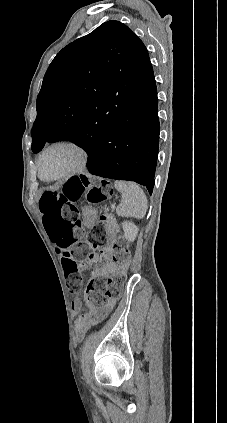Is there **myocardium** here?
I'll list each match as a JSON object with an SVG mask.
<instances>
[{
  "mask_svg": "<svg viewBox=\"0 0 227 423\" xmlns=\"http://www.w3.org/2000/svg\"><path fill=\"white\" fill-rule=\"evenodd\" d=\"M56 147H68L73 149L74 151L78 153L79 159L76 165L72 167L69 171L52 178H46L43 174L42 159L46 152ZM89 162H90V153L88 149L82 143L73 139L59 140L49 144L40 152L38 160H37L38 173H39V176L47 182H53L57 180H66L83 173L87 169Z\"/></svg>",
  "mask_w": 227,
  "mask_h": 423,
  "instance_id": "f54148a6",
  "label": "myocardium"
}]
</instances>
